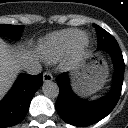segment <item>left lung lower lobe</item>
Listing matches in <instances>:
<instances>
[{
  "mask_svg": "<svg viewBox=\"0 0 128 128\" xmlns=\"http://www.w3.org/2000/svg\"><path fill=\"white\" fill-rule=\"evenodd\" d=\"M98 48L110 53L115 66L114 84L112 91L107 97L95 102L81 100L71 91L65 73L60 74L56 79L60 89L56 102V110L66 123L74 126L85 127L106 117L117 104L121 94L124 60L118 43L114 41Z\"/></svg>",
  "mask_w": 128,
  "mask_h": 128,
  "instance_id": "0a47b994",
  "label": "left lung lower lobe"
}]
</instances>
